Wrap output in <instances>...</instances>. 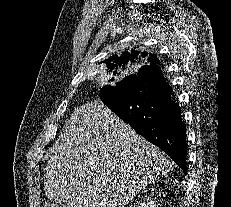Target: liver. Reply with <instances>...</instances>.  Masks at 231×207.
<instances>
[{
  "mask_svg": "<svg viewBox=\"0 0 231 207\" xmlns=\"http://www.w3.org/2000/svg\"><path fill=\"white\" fill-rule=\"evenodd\" d=\"M50 151L45 195L66 207H124L171 167L100 101L76 109Z\"/></svg>",
  "mask_w": 231,
  "mask_h": 207,
  "instance_id": "liver-1",
  "label": "liver"
}]
</instances>
